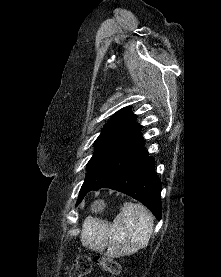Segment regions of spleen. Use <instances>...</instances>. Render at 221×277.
Masks as SVG:
<instances>
[{
	"label": "spleen",
	"instance_id": "3e777b00",
	"mask_svg": "<svg viewBox=\"0 0 221 277\" xmlns=\"http://www.w3.org/2000/svg\"><path fill=\"white\" fill-rule=\"evenodd\" d=\"M101 208V207H98ZM153 232V217L141 204L124 203L113 223L88 217L83 223L81 243L112 258L129 256L145 248Z\"/></svg>",
	"mask_w": 221,
	"mask_h": 277
}]
</instances>
